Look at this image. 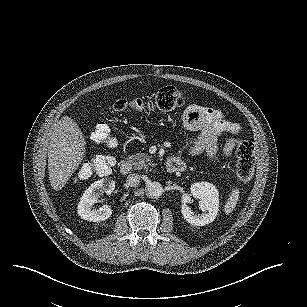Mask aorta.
Segmentation results:
<instances>
[{"label":"aorta","instance_id":"obj_1","mask_svg":"<svg viewBox=\"0 0 307 307\" xmlns=\"http://www.w3.org/2000/svg\"><path fill=\"white\" fill-rule=\"evenodd\" d=\"M147 194L150 197L158 198L163 194V186L160 182L152 181L147 184Z\"/></svg>","mask_w":307,"mask_h":307}]
</instances>
